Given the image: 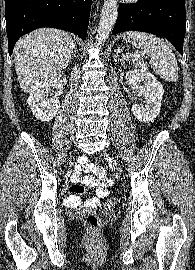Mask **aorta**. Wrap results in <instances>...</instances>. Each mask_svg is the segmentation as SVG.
<instances>
[{
  "label": "aorta",
  "mask_w": 195,
  "mask_h": 270,
  "mask_svg": "<svg viewBox=\"0 0 195 270\" xmlns=\"http://www.w3.org/2000/svg\"><path fill=\"white\" fill-rule=\"evenodd\" d=\"M118 16L117 0H105L101 11L96 40L98 44L106 41Z\"/></svg>",
  "instance_id": "1"
}]
</instances>
